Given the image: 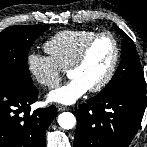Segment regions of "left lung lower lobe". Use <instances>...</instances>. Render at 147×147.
Instances as JSON below:
<instances>
[{
	"label": "left lung lower lobe",
	"instance_id": "0a47b994",
	"mask_svg": "<svg viewBox=\"0 0 147 147\" xmlns=\"http://www.w3.org/2000/svg\"><path fill=\"white\" fill-rule=\"evenodd\" d=\"M146 93L121 91L97 95L76 111L75 147H128L138 131Z\"/></svg>",
	"mask_w": 147,
	"mask_h": 147
}]
</instances>
